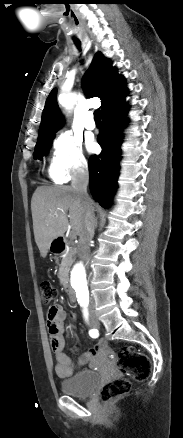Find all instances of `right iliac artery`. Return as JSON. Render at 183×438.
<instances>
[{"mask_svg":"<svg viewBox=\"0 0 183 438\" xmlns=\"http://www.w3.org/2000/svg\"><path fill=\"white\" fill-rule=\"evenodd\" d=\"M83 314H84V318L87 321L88 320V311L87 310H83ZM89 335L92 338H97L99 336V332L97 329H90L89 330Z\"/></svg>","mask_w":183,"mask_h":438,"instance_id":"right-iliac-artery-1","label":"right iliac artery"}]
</instances>
